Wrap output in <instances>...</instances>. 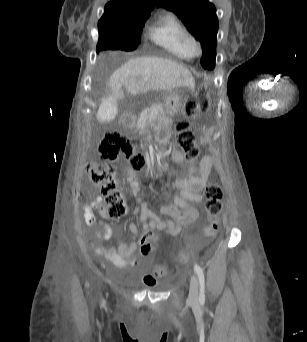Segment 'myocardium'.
<instances>
[{
    "label": "myocardium",
    "instance_id": "myocardium-1",
    "mask_svg": "<svg viewBox=\"0 0 307 342\" xmlns=\"http://www.w3.org/2000/svg\"><path fill=\"white\" fill-rule=\"evenodd\" d=\"M189 49H190L191 54L193 55L200 54L203 49L201 40L198 37L192 35L189 40Z\"/></svg>",
    "mask_w": 307,
    "mask_h": 342
}]
</instances>
